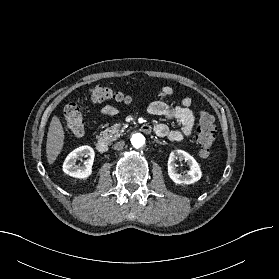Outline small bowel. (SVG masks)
Returning <instances> with one entry per match:
<instances>
[{"mask_svg":"<svg viewBox=\"0 0 279 279\" xmlns=\"http://www.w3.org/2000/svg\"><path fill=\"white\" fill-rule=\"evenodd\" d=\"M174 95V89L170 86H164L159 91V99L153 101L147 109L149 115L162 117L166 120H176L181 124L180 130H170L169 127L161 122L154 121L153 131L159 137H166L170 141H182L191 135L195 123V115L191 109L192 99L185 97L180 105H169L165 99ZM118 110L113 105H105L101 109L103 116H115Z\"/></svg>","mask_w":279,"mask_h":279,"instance_id":"obj_1","label":"small bowel"}]
</instances>
